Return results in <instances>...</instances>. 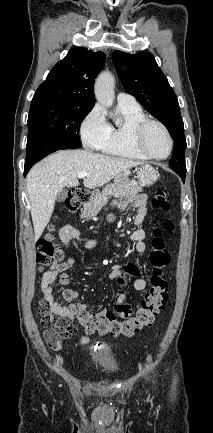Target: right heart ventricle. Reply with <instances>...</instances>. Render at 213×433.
Here are the masks:
<instances>
[{"mask_svg":"<svg viewBox=\"0 0 213 433\" xmlns=\"http://www.w3.org/2000/svg\"><path fill=\"white\" fill-rule=\"evenodd\" d=\"M118 111L122 116V122L109 125L108 133L99 148L100 151L111 156L147 159L136 149L132 139L133 127L146 118L141 107L139 105H118Z\"/></svg>","mask_w":213,"mask_h":433,"instance_id":"e07e8e85","label":"right heart ventricle"}]
</instances>
